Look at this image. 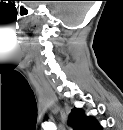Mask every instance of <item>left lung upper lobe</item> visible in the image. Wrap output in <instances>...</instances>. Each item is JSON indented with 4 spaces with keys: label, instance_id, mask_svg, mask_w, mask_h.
<instances>
[{
    "label": "left lung upper lobe",
    "instance_id": "1",
    "mask_svg": "<svg viewBox=\"0 0 123 130\" xmlns=\"http://www.w3.org/2000/svg\"><path fill=\"white\" fill-rule=\"evenodd\" d=\"M69 123L75 130H100L93 117H86L81 109L74 108L69 116Z\"/></svg>",
    "mask_w": 123,
    "mask_h": 130
}]
</instances>
